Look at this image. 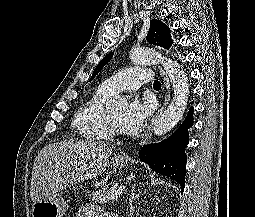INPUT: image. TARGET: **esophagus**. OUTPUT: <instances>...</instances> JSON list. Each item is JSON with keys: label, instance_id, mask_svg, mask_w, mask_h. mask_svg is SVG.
Returning <instances> with one entry per match:
<instances>
[{"label": "esophagus", "instance_id": "esophagus-1", "mask_svg": "<svg viewBox=\"0 0 255 217\" xmlns=\"http://www.w3.org/2000/svg\"><path fill=\"white\" fill-rule=\"evenodd\" d=\"M159 73H160V75H161V77L163 79L164 88L166 90V95L164 97V101H163L162 106L160 107L158 112L154 115L150 125L148 126V128L146 129L144 134L142 135L141 141L139 143L140 146L145 145L149 141V139L151 137V134H152L154 123L159 119V117L163 113V111H164V109H165V107L168 104V101L170 99V83H169V78H168L167 74L165 73V71L161 67H159Z\"/></svg>", "mask_w": 255, "mask_h": 217}]
</instances>
